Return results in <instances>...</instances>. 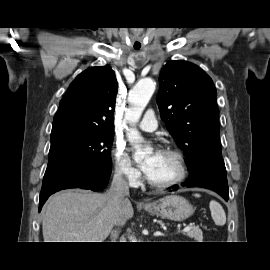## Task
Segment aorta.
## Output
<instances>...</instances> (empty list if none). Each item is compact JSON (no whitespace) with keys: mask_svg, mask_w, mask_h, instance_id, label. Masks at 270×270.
Returning <instances> with one entry per match:
<instances>
[{"mask_svg":"<svg viewBox=\"0 0 270 270\" xmlns=\"http://www.w3.org/2000/svg\"><path fill=\"white\" fill-rule=\"evenodd\" d=\"M156 83L151 78H144L138 81L128 96L129 107L125 113V120L131 125H135L141 118L142 112L148 104L155 91ZM129 141H142V137L136 128H131L127 133ZM152 152V148L139 149L134 154L135 161H141L147 154Z\"/></svg>","mask_w":270,"mask_h":270,"instance_id":"762f6f07","label":"aorta"}]
</instances>
